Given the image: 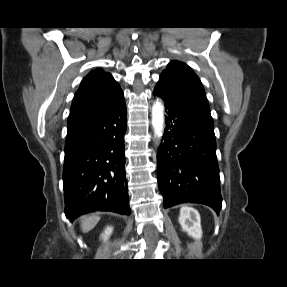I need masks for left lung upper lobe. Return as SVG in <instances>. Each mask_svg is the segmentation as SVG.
<instances>
[{
  "mask_svg": "<svg viewBox=\"0 0 287 287\" xmlns=\"http://www.w3.org/2000/svg\"><path fill=\"white\" fill-rule=\"evenodd\" d=\"M156 87L172 102L214 128L203 85L188 65L171 61L161 73Z\"/></svg>",
  "mask_w": 287,
  "mask_h": 287,
  "instance_id": "obj_1",
  "label": "left lung upper lobe"
}]
</instances>
